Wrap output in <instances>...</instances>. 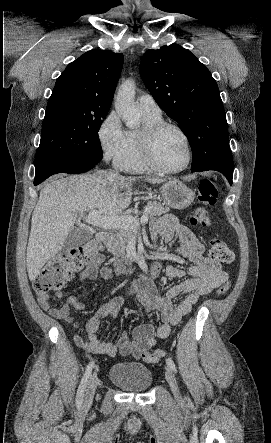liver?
I'll return each instance as SVG.
<instances>
[{"instance_id":"liver-1","label":"liver","mask_w":271,"mask_h":443,"mask_svg":"<svg viewBox=\"0 0 271 443\" xmlns=\"http://www.w3.org/2000/svg\"><path fill=\"white\" fill-rule=\"evenodd\" d=\"M54 176L42 188L39 202L32 214L26 265L30 281L36 279L41 267L54 257L74 229L75 223L95 210L103 216L123 214L131 204L133 182L138 178L109 176L101 170L97 174ZM150 184H162L159 178H145ZM127 190V192H126Z\"/></svg>"}]
</instances>
